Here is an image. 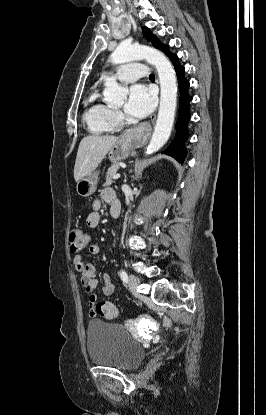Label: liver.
<instances>
[{
    "label": "liver",
    "instance_id": "liver-1",
    "mask_svg": "<svg viewBox=\"0 0 266 415\" xmlns=\"http://www.w3.org/2000/svg\"><path fill=\"white\" fill-rule=\"evenodd\" d=\"M118 141L116 136L89 135L84 137L78 147L74 179L76 182L92 172Z\"/></svg>",
    "mask_w": 266,
    "mask_h": 415
}]
</instances>
